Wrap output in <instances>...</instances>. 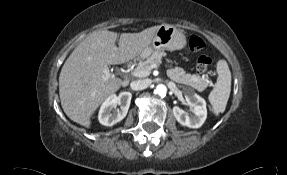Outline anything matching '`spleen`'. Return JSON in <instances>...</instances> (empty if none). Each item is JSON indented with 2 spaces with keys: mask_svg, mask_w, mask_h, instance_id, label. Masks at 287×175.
Wrapping results in <instances>:
<instances>
[{
  "mask_svg": "<svg viewBox=\"0 0 287 175\" xmlns=\"http://www.w3.org/2000/svg\"><path fill=\"white\" fill-rule=\"evenodd\" d=\"M217 73V82L208 97L216 115L225 111L231 92V72L225 60L218 61Z\"/></svg>",
  "mask_w": 287,
  "mask_h": 175,
  "instance_id": "obj_1",
  "label": "spleen"
}]
</instances>
